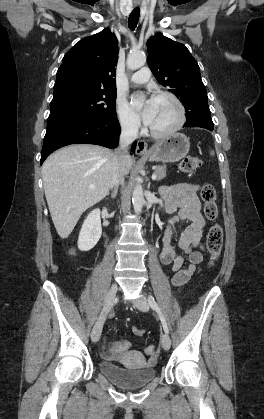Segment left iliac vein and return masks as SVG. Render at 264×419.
<instances>
[{"label":"left iliac vein","instance_id":"obj_1","mask_svg":"<svg viewBox=\"0 0 264 419\" xmlns=\"http://www.w3.org/2000/svg\"><path fill=\"white\" fill-rule=\"evenodd\" d=\"M135 306L141 311H148L149 310V302L145 296H140L137 300H135ZM162 347L165 350H168L171 346V339L167 333L163 334L161 339Z\"/></svg>","mask_w":264,"mask_h":419}]
</instances>
